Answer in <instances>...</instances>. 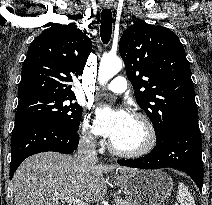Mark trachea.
Returning a JSON list of instances; mask_svg holds the SVG:
<instances>
[{
  "instance_id": "3493384b",
  "label": "trachea",
  "mask_w": 212,
  "mask_h": 205,
  "mask_svg": "<svg viewBox=\"0 0 212 205\" xmlns=\"http://www.w3.org/2000/svg\"><path fill=\"white\" fill-rule=\"evenodd\" d=\"M112 34V12L110 9H103L101 13L100 35L103 43L107 44Z\"/></svg>"
}]
</instances>
